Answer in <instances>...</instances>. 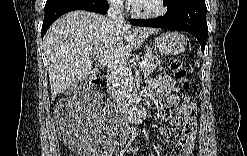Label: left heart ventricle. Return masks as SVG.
Wrapping results in <instances>:
<instances>
[{"instance_id":"1","label":"left heart ventricle","mask_w":247,"mask_h":156,"mask_svg":"<svg viewBox=\"0 0 247 156\" xmlns=\"http://www.w3.org/2000/svg\"><path fill=\"white\" fill-rule=\"evenodd\" d=\"M138 11L142 13L150 12L155 9L156 2L152 0L138 1L134 4Z\"/></svg>"}]
</instances>
